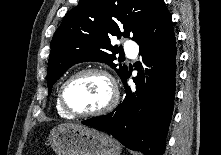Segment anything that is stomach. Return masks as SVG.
I'll use <instances>...</instances> for the list:
<instances>
[{"mask_svg":"<svg viewBox=\"0 0 221 155\" xmlns=\"http://www.w3.org/2000/svg\"><path fill=\"white\" fill-rule=\"evenodd\" d=\"M57 155H119L118 142L99 130L77 124H60L49 136Z\"/></svg>","mask_w":221,"mask_h":155,"instance_id":"stomach-1","label":"stomach"}]
</instances>
